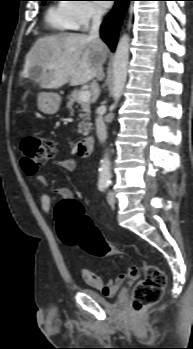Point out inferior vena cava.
Returning a JSON list of instances; mask_svg holds the SVG:
<instances>
[{
  "label": "inferior vena cava",
  "mask_w": 193,
  "mask_h": 349,
  "mask_svg": "<svg viewBox=\"0 0 193 349\" xmlns=\"http://www.w3.org/2000/svg\"><path fill=\"white\" fill-rule=\"evenodd\" d=\"M102 15H103V11L101 9H97V8L93 9L92 24L89 32V37L92 39H99V29H100ZM96 113H97V117L95 120L96 133L99 141L103 143L107 138L106 125L104 123L101 111L97 110Z\"/></svg>",
  "instance_id": "602c4592"
}]
</instances>
